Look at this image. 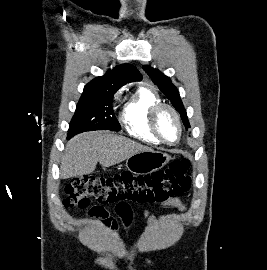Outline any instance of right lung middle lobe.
Here are the masks:
<instances>
[{"label": "right lung middle lobe", "mask_w": 267, "mask_h": 270, "mask_svg": "<svg viewBox=\"0 0 267 270\" xmlns=\"http://www.w3.org/2000/svg\"><path fill=\"white\" fill-rule=\"evenodd\" d=\"M116 91L113 89L84 90L69 124L67 138L91 130L119 131L121 126L112 109L113 95Z\"/></svg>", "instance_id": "dd1d6c3e"}]
</instances>
